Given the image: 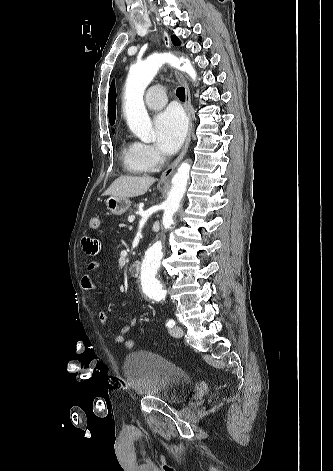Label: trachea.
Instances as JSON below:
<instances>
[{
	"instance_id": "1",
	"label": "trachea",
	"mask_w": 333,
	"mask_h": 471,
	"mask_svg": "<svg viewBox=\"0 0 333 471\" xmlns=\"http://www.w3.org/2000/svg\"><path fill=\"white\" fill-rule=\"evenodd\" d=\"M176 95L181 101H185V89L184 87H179L176 90Z\"/></svg>"
}]
</instances>
